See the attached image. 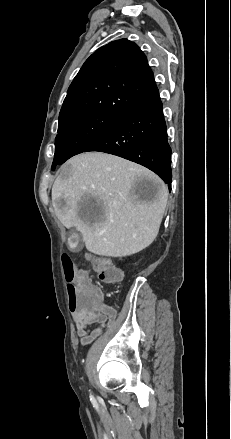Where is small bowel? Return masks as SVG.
<instances>
[{
    "mask_svg": "<svg viewBox=\"0 0 231 439\" xmlns=\"http://www.w3.org/2000/svg\"><path fill=\"white\" fill-rule=\"evenodd\" d=\"M76 293H83L86 297L85 301L87 300L86 289L79 284L76 286ZM89 312L93 315L90 319L86 316ZM71 314L82 345L92 342L101 333L102 329L113 324L116 318L115 309L102 303L101 291L95 306H91L89 309L84 308L81 312ZM96 323L99 324V327L90 329V326Z\"/></svg>",
    "mask_w": 231,
    "mask_h": 439,
    "instance_id": "c3829d8e",
    "label": "small bowel"
}]
</instances>
